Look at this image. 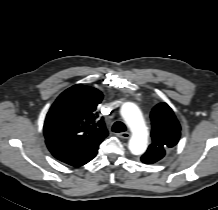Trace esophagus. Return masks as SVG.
Returning <instances> with one entry per match:
<instances>
[{
  "instance_id": "obj_1",
  "label": "esophagus",
  "mask_w": 218,
  "mask_h": 210,
  "mask_svg": "<svg viewBox=\"0 0 218 210\" xmlns=\"http://www.w3.org/2000/svg\"><path fill=\"white\" fill-rule=\"evenodd\" d=\"M117 136L119 138L128 139L130 137V133L129 132H122V133H118Z\"/></svg>"
}]
</instances>
